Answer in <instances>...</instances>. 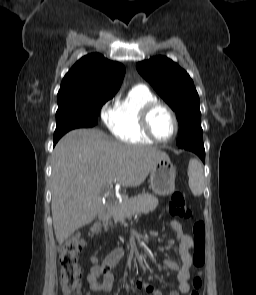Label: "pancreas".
I'll list each match as a JSON object with an SVG mask.
<instances>
[{"mask_svg":"<svg viewBox=\"0 0 256 295\" xmlns=\"http://www.w3.org/2000/svg\"><path fill=\"white\" fill-rule=\"evenodd\" d=\"M157 205L158 199L153 195L139 194L134 198L124 200L122 203L115 204L111 217L115 222H124L126 218H131L134 214H146L154 211ZM109 224H111V221Z\"/></svg>","mask_w":256,"mask_h":295,"instance_id":"obj_1","label":"pancreas"}]
</instances>
